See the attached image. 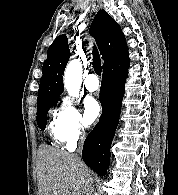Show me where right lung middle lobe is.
Here are the masks:
<instances>
[{
    "label": "right lung middle lobe",
    "mask_w": 178,
    "mask_h": 195,
    "mask_svg": "<svg viewBox=\"0 0 178 195\" xmlns=\"http://www.w3.org/2000/svg\"><path fill=\"white\" fill-rule=\"evenodd\" d=\"M54 102L55 101L52 100V101H47V102L37 105V124L41 130H44L46 127L45 119H46L48 110L51 108Z\"/></svg>",
    "instance_id": "dd1d6c3e"
}]
</instances>
